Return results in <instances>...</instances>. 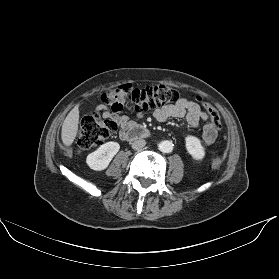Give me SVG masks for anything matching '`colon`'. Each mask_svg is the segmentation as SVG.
<instances>
[{
  "instance_id": "colon-1",
  "label": "colon",
  "mask_w": 279,
  "mask_h": 279,
  "mask_svg": "<svg viewBox=\"0 0 279 279\" xmlns=\"http://www.w3.org/2000/svg\"><path fill=\"white\" fill-rule=\"evenodd\" d=\"M101 99L108 107V113L101 115L97 112L82 119L76 144L80 154L103 144L117 130L118 114L125 108L132 107L135 113L144 114L154 108L176 103L180 93L166 85L135 88L131 84H123L104 93ZM203 105L210 115L212 126L218 131L221 122L217 110L208 103Z\"/></svg>"
}]
</instances>
